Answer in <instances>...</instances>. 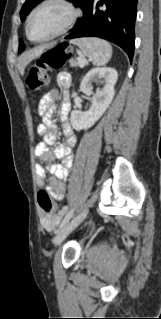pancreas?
Instances as JSON below:
<instances>
[{"mask_svg":"<svg viewBox=\"0 0 161 319\" xmlns=\"http://www.w3.org/2000/svg\"><path fill=\"white\" fill-rule=\"evenodd\" d=\"M79 65V62L75 61V60H70V66L71 67H76Z\"/></svg>","mask_w":161,"mask_h":319,"instance_id":"1","label":"pancreas"}]
</instances>
